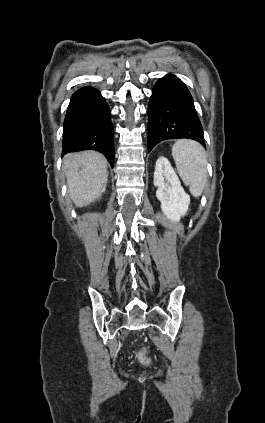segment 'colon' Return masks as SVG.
<instances>
[{
  "label": "colon",
  "instance_id": "obj_1",
  "mask_svg": "<svg viewBox=\"0 0 265 423\" xmlns=\"http://www.w3.org/2000/svg\"><path fill=\"white\" fill-rule=\"evenodd\" d=\"M140 358H141L142 360H145V361L147 360L145 352H141V353H140Z\"/></svg>",
  "mask_w": 265,
  "mask_h": 423
}]
</instances>
